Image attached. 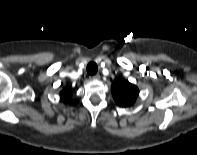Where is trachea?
<instances>
[{"mask_svg": "<svg viewBox=\"0 0 197 155\" xmlns=\"http://www.w3.org/2000/svg\"><path fill=\"white\" fill-rule=\"evenodd\" d=\"M98 71V66L95 62H90L87 65V73L89 75H95Z\"/></svg>", "mask_w": 197, "mask_h": 155, "instance_id": "obj_1", "label": "trachea"}]
</instances>
